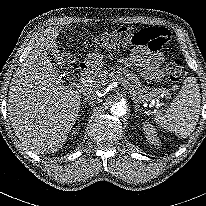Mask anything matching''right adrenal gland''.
Returning a JSON list of instances; mask_svg holds the SVG:
<instances>
[{"instance_id": "obj_1", "label": "right adrenal gland", "mask_w": 206, "mask_h": 206, "mask_svg": "<svg viewBox=\"0 0 206 206\" xmlns=\"http://www.w3.org/2000/svg\"><path fill=\"white\" fill-rule=\"evenodd\" d=\"M89 104V105H91V108L94 106V102H91L90 100H86V99H84L83 101H82V104Z\"/></svg>"}]
</instances>
